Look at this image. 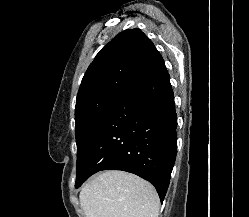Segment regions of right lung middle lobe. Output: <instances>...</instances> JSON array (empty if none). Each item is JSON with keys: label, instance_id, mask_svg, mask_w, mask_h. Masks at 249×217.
<instances>
[{"label": "right lung middle lobe", "instance_id": "dd1d6c3e", "mask_svg": "<svg viewBox=\"0 0 249 217\" xmlns=\"http://www.w3.org/2000/svg\"><path fill=\"white\" fill-rule=\"evenodd\" d=\"M124 92L111 91L102 93L84 101L75 108V136L77 143V174L80 176L79 165L91 139L107 118L111 110L124 96Z\"/></svg>", "mask_w": 249, "mask_h": 217}]
</instances>
